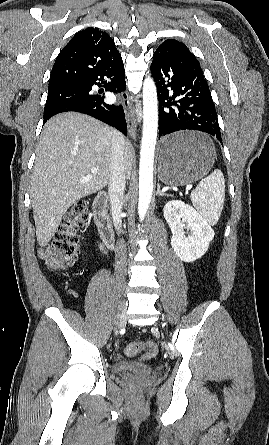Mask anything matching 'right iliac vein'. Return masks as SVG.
<instances>
[{
	"label": "right iliac vein",
	"instance_id": "1",
	"mask_svg": "<svg viewBox=\"0 0 269 445\" xmlns=\"http://www.w3.org/2000/svg\"><path fill=\"white\" fill-rule=\"evenodd\" d=\"M126 308H127V303L125 301H123V303L121 305V311H120L119 315L117 316V319L115 322V333L116 334L126 323Z\"/></svg>",
	"mask_w": 269,
	"mask_h": 445
}]
</instances>
